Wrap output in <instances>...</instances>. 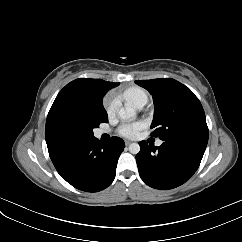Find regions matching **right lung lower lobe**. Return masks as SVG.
Masks as SVG:
<instances>
[{
	"mask_svg": "<svg viewBox=\"0 0 242 242\" xmlns=\"http://www.w3.org/2000/svg\"><path fill=\"white\" fill-rule=\"evenodd\" d=\"M124 147L119 137L102 144L94 136H77L48 151L56 170L69 184L82 191L98 192L114 180Z\"/></svg>",
	"mask_w": 242,
	"mask_h": 242,
	"instance_id": "98d812e1",
	"label": "right lung lower lobe"
}]
</instances>
